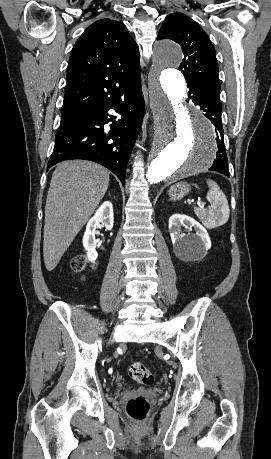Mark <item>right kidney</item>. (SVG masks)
<instances>
[{
  "label": "right kidney",
  "mask_w": 271,
  "mask_h": 459,
  "mask_svg": "<svg viewBox=\"0 0 271 459\" xmlns=\"http://www.w3.org/2000/svg\"><path fill=\"white\" fill-rule=\"evenodd\" d=\"M105 226L106 229H112L114 224L113 218V206L111 202H104L97 210L95 216L89 220L86 231L83 235V245L87 249V257L89 261H95L98 257V253L95 249L97 245V239H95V233L97 226Z\"/></svg>",
  "instance_id": "obj_1"
}]
</instances>
